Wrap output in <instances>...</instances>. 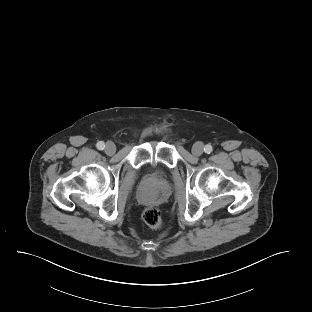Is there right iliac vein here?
Returning <instances> with one entry per match:
<instances>
[{"label":"right iliac vein","mask_w":312,"mask_h":312,"mask_svg":"<svg viewBox=\"0 0 312 312\" xmlns=\"http://www.w3.org/2000/svg\"><path fill=\"white\" fill-rule=\"evenodd\" d=\"M116 151V146L113 142H108L105 146V152L108 154V155H112L114 154Z\"/></svg>","instance_id":"obj_1"}]
</instances>
